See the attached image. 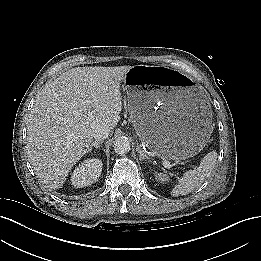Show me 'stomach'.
Listing matches in <instances>:
<instances>
[{"mask_svg":"<svg viewBox=\"0 0 261 261\" xmlns=\"http://www.w3.org/2000/svg\"><path fill=\"white\" fill-rule=\"evenodd\" d=\"M152 74L170 79L143 90ZM124 89L137 133L154 155L184 160L205 146L212 131L210 107L189 78L164 67L136 65L126 73Z\"/></svg>","mask_w":261,"mask_h":261,"instance_id":"stomach-1","label":"stomach"}]
</instances>
